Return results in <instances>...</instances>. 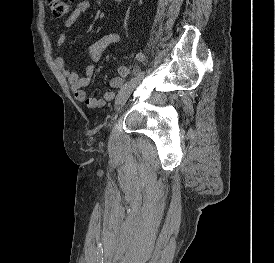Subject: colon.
<instances>
[{
    "label": "colon",
    "instance_id": "1",
    "mask_svg": "<svg viewBox=\"0 0 275 263\" xmlns=\"http://www.w3.org/2000/svg\"><path fill=\"white\" fill-rule=\"evenodd\" d=\"M46 2L54 17H62L70 11L73 0H46Z\"/></svg>",
    "mask_w": 275,
    "mask_h": 263
}]
</instances>
